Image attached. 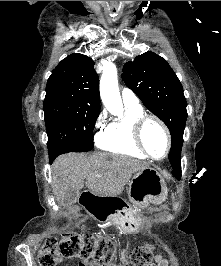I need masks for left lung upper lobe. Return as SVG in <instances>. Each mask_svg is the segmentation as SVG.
I'll use <instances>...</instances> for the list:
<instances>
[{"label":"left lung upper lobe","mask_w":221,"mask_h":266,"mask_svg":"<svg viewBox=\"0 0 221 266\" xmlns=\"http://www.w3.org/2000/svg\"><path fill=\"white\" fill-rule=\"evenodd\" d=\"M122 79L167 125L172 139L169 161L180 164L187 110L183 87L172 68L164 58L148 51L123 66Z\"/></svg>","instance_id":"5c2ea615"}]
</instances>
